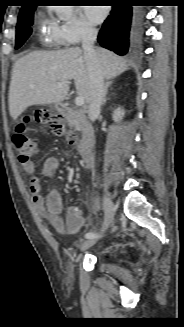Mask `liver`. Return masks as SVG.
I'll return each mask as SVG.
<instances>
[{"mask_svg":"<svg viewBox=\"0 0 184 327\" xmlns=\"http://www.w3.org/2000/svg\"><path fill=\"white\" fill-rule=\"evenodd\" d=\"M103 77L114 79L127 70L123 57L106 49L96 50ZM74 80L79 96L89 104L90 76L84 52L79 47L58 51H33L13 65L9 88V112L16 120L28 107L61 103ZM61 83V87L57 84Z\"/></svg>","mask_w":184,"mask_h":327,"instance_id":"1","label":"liver"}]
</instances>
